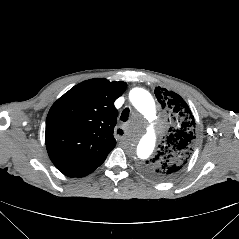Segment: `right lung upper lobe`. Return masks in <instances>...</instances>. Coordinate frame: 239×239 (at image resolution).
Masks as SVG:
<instances>
[{"instance_id": "right-lung-upper-lobe-1", "label": "right lung upper lobe", "mask_w": 239, "mask_h": 239, "mask_svg": "<svg viewBox=\"0 0 239 239\" xmlns=\"http://www.w3.org/2000/svg\"><path fill=\"white\" fill-rule=\"evenodd\" d=\"M125 82L95 78L79 83L60 97L46 119L48 155L63 174L80 177L101 164L115 147L114 101Z\"/></svg>"}]
</instances>
